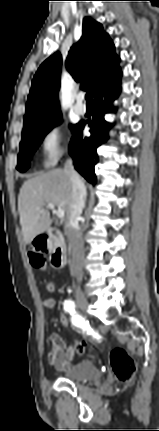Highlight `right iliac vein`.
Returning <instances> with one entry per match:
<instances>
[{
	"label": "right iliac vein",
	"instance_id": "1",
	"mask_svg": "<svg viewBox=\"0 0 159 431\" xmlns=\"http://www.w3.org/2000/svg\"><path fill=\"white\" fill-rule=\"evenodd\" d=\"M76 302L80 309L86 310L88 308V300L82 292L76 293Z\"/></svg>",
	"mask_w": 159,
	"mask_h": 431
}]
</instances>
